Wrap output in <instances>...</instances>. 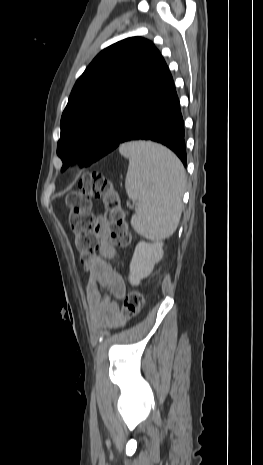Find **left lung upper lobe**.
I'll use <instances>...</instances> for the list:
<instances>
[{
    "label": "left lung upper lobe",
    "instance_id": "obj_1",
    "mask_svg": "<svg viewBox=\"0 0 263 465\" xmlns=\"http://www.w3.org/2000/svg\"><path fill=\"white\" fill-rule=\"evenodd\" d=\"M161 57L141 37L121 40L100 52L76 81L61 117L57 155L92 160L106 142L122 106Z\"/></svg>",
    "mask_w": 263,
    "mask_h": 465
}]
</instances>
